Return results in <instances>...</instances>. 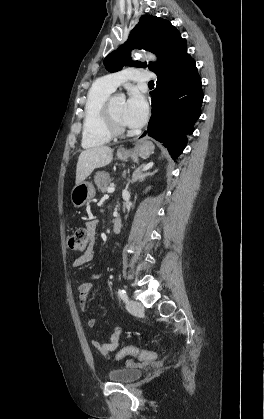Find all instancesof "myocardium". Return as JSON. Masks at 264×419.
I'll return each instance as SVG.
<instances>
[{
    "label": "myocardium",
    "mask_w": 264,
    "mask_h": 419,
    "mask_svg": "<svg viewBox=\"0 0 264 419\" xmlns=\"http://www.w3.org/2000/svg\"><path fill=\"white\" fill-rule=\"evenodd\" d=\"M115 96H110L104 106L107 127L112 136H122L127 132L125 124L120 122L113 113L112 104Z\"/></svg>",
    "instance_id": "1"
}]
</instances>
